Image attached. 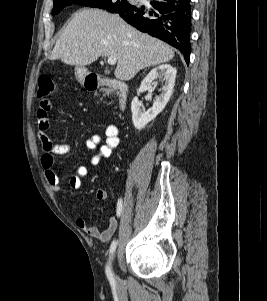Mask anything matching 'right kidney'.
Returning <instances> with one entry per match:
<instances>
[{
	"mask_svg": "<svg viewBox=\"0 0 267 301\" xmlns=\"http://www.w3.org/2000/svg\"><path fill=\"white\" fill-rule=\"evenodd\" d=\"M177 70L169 64L159 65L152 69L143 79L139 91L144 92L151 88L154 80L164 81L165 85L161 89V95L156 98L152 108L145 111L144 106L138 97H134L131 103L132 121L134 127L138 130L143 129L150 121L163 111L166 104L171 98L173 87L175 84Z\"/></svg>",
	"mask_w": 267,
	"mask_h": 301,
	"instance_id": "obj_1",
	"label": "right kidney"
}]
</instances>
